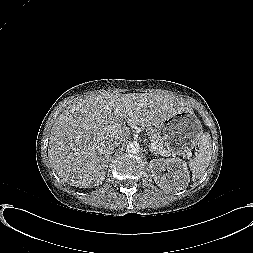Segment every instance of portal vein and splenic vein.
<instances>
[{
	"label": "portal vein and splenic vein",
	"mask_w": 253,
	"mask_h": 253,
	"mask_svg": "<svg viewBox=\"0 0 253 253\" xmlns=\"http://www.w3.org/2000/svg\"><path fill=\"white\" fill-rule=\"evenodd\" d=\"M151 146L152 148L157 151L159 154L163 155V156H169L170 154H168V152L163 151L162 148L160 147L159 144H156L155 142H151Z\"/></svg>",
	"instance_id": "1"
}]
</instances>
